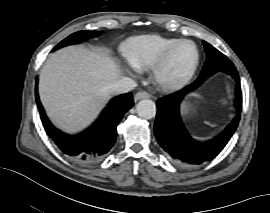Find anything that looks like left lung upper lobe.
Returning <instances> with one entry per match:
<instances>
[{
  "instance_id": "5c2ea615",
  "label": "left lung upper lobe",
  "mask_w": 270,
  "mask_h": 213,
  "mask_svg": "<svg viewBox=\"0 0 270 213\" xmlns=\"http://www.w3.org/2000/svg\"><path fill=\"white\" fill-rule=\"evenodd\" d=\"M205 51L207 54V59L202 68L200 76L197 78V82L203 81L209 76L213 75L218 71H224L227 68L233 67V63L216 48H214L209 43L203 41Z\"/></svg>"
}]
</instances>
